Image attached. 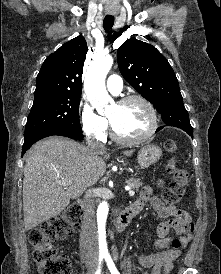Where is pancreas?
Instances as JSON below:
<instances>
[{
  "label": "pancreas",
  "instance_id": "pancreas-1",
  "mask_svg": "<svg viewBox=\"0 0 221 274\" xmlns=\"http://www.w3.org/2000/svg\"><path fill=\"white\" fill-rule=\"evenodd\" d=\"M126 183L136 192H138L140 187L142 186V182H140V179L131 178L126 180Z\"/></svg>",
  "mask_w": 221,
  "mask_h": 274
}]
</instances>
